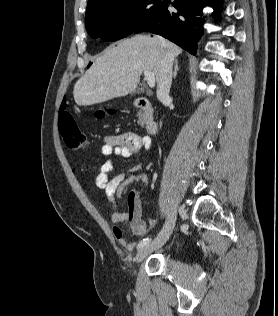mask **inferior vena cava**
<instances>
[{
  "label": "inferior vena cava",
  "instance_id": "1",
  "mask_svg": "<svg viewBox=\"0 0 278 316\" xmlns=\"http://www.w3.org/2000/svg\"><path fill=\"white\" fill-rule=\"evenodd\" d=\"M174 57L167 52L161 62L160 78L157 86V98L160 101L169 100V92L172 84V66Z\"/></svg>",
  "mask_w": 278,
  "mask_h": 316
}]
</instances>
